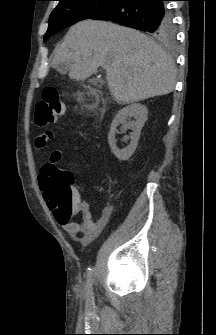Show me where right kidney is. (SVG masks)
I'll return each mask as SVG.
<instances>
[{
  "instance_id": "right-kidney-1",
  "label": "right kidney",
  "mask_w": 216,
  "mask_h": 335,
  "mask_svg": "<svg viewBox=\"0 0 216 335\" xmlns=\"http://www.w3.org/2000/svg\"><path fill=\"white\" fill-rule=\"evenodd\" d=\"M148 110L145 105L134 103L131 105H128L121 109L115 118L112 121L110 131L108 134V143L110 145L112 153L119 159V160H128L132 154L134 153L138 140L140 137L141 129L144 125V123L147 120ZM134 118V121H130V118ZM127 120H129L127 122ZM119 124H123L125 129H132L133 132L131 133V142L130 144L124 148L119 149L116 146V139H115V133L117 126Z\"/></svg>"
}]
</instances>
